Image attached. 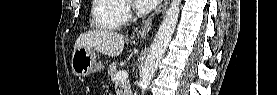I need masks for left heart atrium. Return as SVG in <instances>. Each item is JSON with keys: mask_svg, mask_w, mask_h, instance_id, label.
<instances>
[{"mask_svg": "<svg viewBox=\"0 0 277 95\" xmlns=\"http://www.w3.org/2000/svg\"><path fill=\"white\" fill-rule=\"evenodd\" d=\"M137 7L140 10L149 11L156 7L158 0H136Z\"/></svg>", "mask_w": 277, "mask_h": 95, "instance_id": "left-heart-atrium-1", "label": "left heart atrium"}]
</instances>
